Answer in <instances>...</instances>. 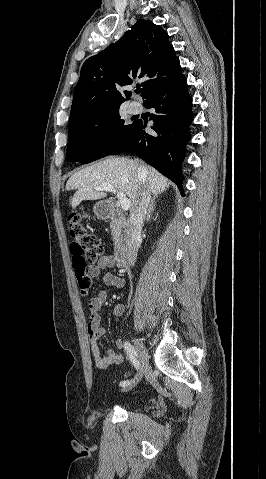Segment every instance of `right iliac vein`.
Wrapping results in <instances>:
<instances>
[{"label":"right iliac vein","instance_id":"right-iliac-vein-1","mask_svg":"<svg viewBox=\"0 0 266 479\" xmlns=\"http://www.w3.org/2000/svg\"><path fill=\"white\" fill-rule=\"evenodd\" d=\"M134 346L139 360V368L136 375V378L127 385L122 391H127L132 389L139 381L140 377L147 371L148 367V353L143 345V343L139 339H134Z\"/></svg>","mask_w":266,"mask_h":479}]
</instances>
